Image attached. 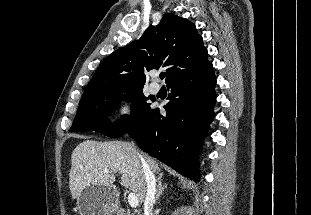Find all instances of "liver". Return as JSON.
I'll return each mask as SVG.
<instances>
[{
	"label": "liver",
	"mask_w": 311,
	"mask_h": 215,
	"mask_svg": "<svg viewBox=\"0 0 311 215\" xmlns=\"http://www.w3.org/2000/svg\"><path fill=\"white\" fill-rule=\"evenodd\" d=\"M133 144L123 141L98 142L85 140L77 145L71 155L69 188L73 199H78L90 185L111 186L115 174H121L120 184L134 193L140 203L144 202L146 183L142 165L133 151ZM153 173L159 174V164L144 155ZM107 169L109 172L105 173ZM162 175V174H160Z\"/></svg>",
	"instance_id": "6515ba94"
}]
</instances>
